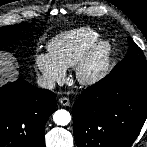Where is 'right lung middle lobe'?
I'll return each instance as SVG.
<instances>
[{
	"mask_svg": "<svg viewBox=\"0 0 147 147\" xmlns=\"http://www.w3.org/2000/svg\"><path fill=\"white\" fill-rule=\"evenodd\" d=\"M31 26L30 23H20L11 26L0 27V49L5 47L8 42V34L27 29Z\"/></svg>",
	"mask_w": 147,
	"mask_h": 147,
	"instance_id": "right-lung-middle-lobe-1",
	"label": "right lung middle lobe"
}]
</instances>
